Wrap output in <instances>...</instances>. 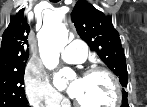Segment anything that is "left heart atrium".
Instances as JSON below:
<instances>
[{"mask_svg": "<svg viewBox=\"0 0 147 107\" xmlns=\"http://www.w3.org/2000/svg\"><path fill=\"white\" fill-rule=\"evenodd\" d=\"M80 87H81V82L80 79H78L75 82H73L69 87L68 90L69 95L72 97H76L80 91Z\"/></svg>", "mask_w": 147, "mask_h": 107, "instance_id": "39dd6f15", "label": "left heart atrium"}]
</instances>
